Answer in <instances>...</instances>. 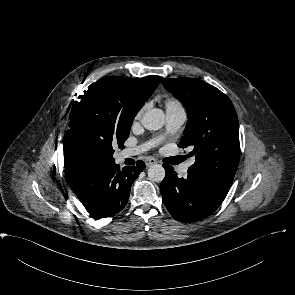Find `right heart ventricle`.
I'll return each instance as SVG.
<instances>
[{
    "label": "right heart ventricle",
    "mask_w": 295,
    "mask_h": 295,
    "mask_svg": "<svg viewBox=\"0 0 295 295\" xmlns=\"http://www.w3.org/2000/svg\"><path fill=\"white\" fill-rule=\"evenodd\" d=\"M182 107L181 104L175 100V99H167L166 100V108L168 109H174V108H179Z\"/></svg>",
    "instance_id": "e07e8e85"
}]
</instances>
